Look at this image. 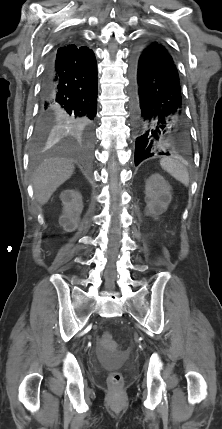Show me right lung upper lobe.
Listing matches in <instances>:
<instances>
[{
    "mask_svg": "<svg viewBox=\"0 0 222 429\" xmlns=\"http://www.w3.org/2000/svg\"><path fill=\"white\" fill-rule=\"evenodd\" d=\"M68 47L73 48L74 50H77L78 52H81L82 54H89L90 49L86 46L77 47L75 45H67Z\"/></svg>",
    "mask_w": 222,
    "mask_h": 429,
    "instance_id": "right-lung-upper-lobe-1",
    "label": "right lung upper lobe"
}]
</instances>
